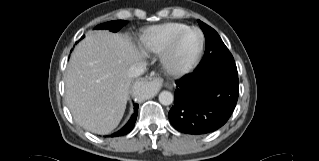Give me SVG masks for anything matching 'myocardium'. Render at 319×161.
<instances>
[{"label": "myocardium", "instance_id": "myocardium-1", "mask_svg": "<svg viewBox=\"0 0 319 161\" xmlns=\"http://www.w3.org/2000/svg\"><path fill=\"white\" fill-rule=\"evenodd\" d=\"M196 30L200 34V44L198 51L196 52L193 59L184 65H179L174 61V51L179 42L180 38L188 31ZM205 37L202 30L196 26L186 27L180 31H178L170 40L166 50L164 51V55L162 57V63L165 71L173 76H181L190 72L198 63L204 48Z\"/></svg>", "mask_w": 319, "mask_h": 161}]
</instances>
